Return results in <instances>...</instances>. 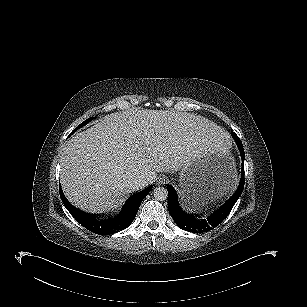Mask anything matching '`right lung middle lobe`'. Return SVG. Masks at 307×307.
<instances>
[{
  "label": "right lung middle lobe",
  "mask_w": 307,
  "mask_h": 307,
  "mask_svg": "<svg viewBox=\"0 0 307 307\" xmlns=\"http://www.w3.org/2000/svg\"><path fill=\"white\" fill-rule=\"evenodd\" d=\"M93 118H89V119H87L86 121H84L82 124H80L79 126H78V128H80V127H82V126H84V125H86L88 122H90L91 120H92ZM78 128H76L72 133H74Z\"/></svg>",
  "instance_id": "1"
}]
</instances>
